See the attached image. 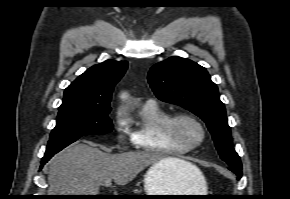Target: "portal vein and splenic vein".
I'll return each instance as SVG.
<instances>
[{
	"label": "portal vein and splenic vein",
	"instance_id": "portal-vein-and-splenic-vein-1",
	"mask_svg": "<svg viewBox=\"0 0 290 199\" xmlns=\"http://www.w3.org/2000/svg\"><path fill=\"white\" fill-rule=\"evenodd\" d=\"M104 184H105V186H109V185H111V181H106Z\"/></svg>",
	"mask_w": 290,
	"mask_h": 199
}]
</instances>
